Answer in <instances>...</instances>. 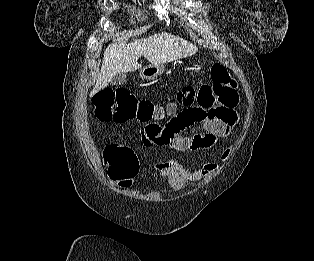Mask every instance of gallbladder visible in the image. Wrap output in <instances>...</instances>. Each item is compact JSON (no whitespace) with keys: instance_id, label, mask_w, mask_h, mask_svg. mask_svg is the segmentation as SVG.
Returning <instances> with one entry per match:
<instances>
[{"instance_id":"gallbladder-1","label":"gallbladder","mask_w":314,"mask_h":261,"mask_svg":"<svg viewBox=\"0 0 314 261\" xmlns=\"http://www.w3.org/2000/svg\"><path fill=\"white\" fill-rule=\"evenodd\" d=\"M125 80H126L125 73L116 74L111 81V85L113 86L121 85L125 82Z\"/></svg>"}]
</instances>
